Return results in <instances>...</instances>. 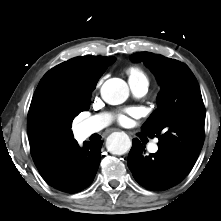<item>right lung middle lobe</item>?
<instances>
[{
  "label": "right lung middle lobe",
  "mask_w": 221,
  "mask_h": 221,
  "mask_svg": "<svg viewBox=\"0 0 221 221\" xmlns=\"http://www.w3.org/2000/svg\"><path fill=\"white\" fill-rule=\"evenodd\" d=\"M89 106H90V101H88V103H87V107H86V109L85 110H88L89 109ZM81 110H79V112H80Z\"/></svg>",
  "instance_id": "dd1d6c3e"
}]
</instances>
